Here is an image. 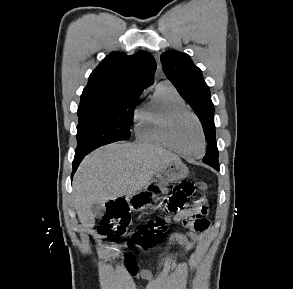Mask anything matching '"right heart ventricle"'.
I'll return each instance as SVG.
<instances>
[{"mask_svg":"<svg viewBox=\"0 0 293 289\" xmlns=\"http://www.w3.org/2000/svg\"><path fill=\"white\" fill-rule=\"evenodd\" d=\"M180 107H185V102L177 90L166 82L158 84L151 99L135 113L134 131L138 140L172 149L166 138L165 126L171 111Z\"/></svg>","mask_w":293,"mask_h":289,"instance_id":"1","label":"right heart ventricle"}]
</instances>
